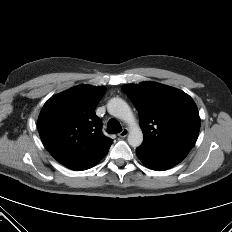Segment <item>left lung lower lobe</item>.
I'll list each match as a JSON object with an SVG mask.
<instances>
[{"mask_svg":"<svg viewBox=\"0 0 232 232\" xmlns=\"http://www.w3.org/2000/svg\"><path fill=\"white\" fill-rule=\"evenodd\" d=\"M139 159L150 169L163 171L180 163L188 154V151L176 150L168 152H150L136 149Z\"/></svg>","mask_w":232,"mask_h":232,"instance_id":"1","label":"left lung lower lobe"}]
</instances>
